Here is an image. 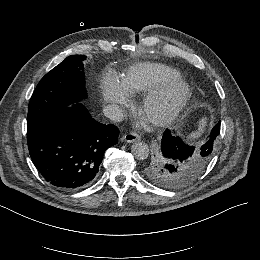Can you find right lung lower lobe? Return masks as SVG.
<instances>
[{
    "label": "right lung lower lobe",
    "instance_id": "98d812e1",
    "mask_svg": "<svg viewBox=\"0 0 260 260\" xmlns=\"http://www.w3.org/2000/svg\"><path fill=\"white\" fill-rule=\"evenodd\" d=\"M116 126L94 120L81 103L27 132L29 153L44 179L62 190L90 185L107 148L118 142Z\"/></svg>",
    "mask_w": 260,
    "mask_h": 260
}]
</instances>
